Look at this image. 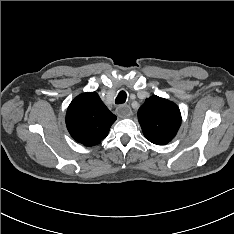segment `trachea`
Instances as JSON below:
<instances>
[{
	"instance_id": "1",
	"label": "trachea",
	"mask_w": 234,
	"mask_h": 234,
	"mask_svg": "<svg viewBox=\"0 0 234 234\" xmlns=\"http://www.w3.org/2000/svg\"><path fill=\"white\" fill-rule=\"evenodd\" d=\"M127 99V94L125 91H120L118 96L115 99L116 104H123Z\"/></svg>"
}]
</instances>
